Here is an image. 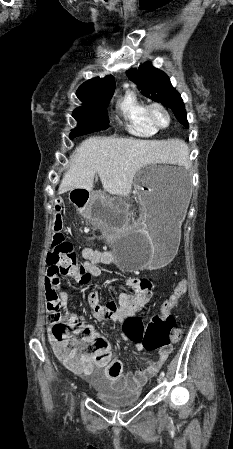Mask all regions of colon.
<instances>
[{"mask_svg": "<svg viewBox=\"0 0 233 449\" xmlns=\"http://www.w3.org/2000/svg\"><path fill=\"white\" fill-rule=\"evenodd\" d=\"M56 207H58L56 205ZM63 221L56 215L53 219L51 249L47 256L50 265H59L64 271L67 268L78 267L79 261L71 243L62 234ZM188 280L180 278L174 285L172 294L162 303L160 313L153 315L144 330L140 325L142 317H148V312H142V316L136 319H127L121 330V337L128 338L129 343H140L146 351L169 350L172 343L180 340L181 330L176 324V319L171 311L177 306L179 299L186 294ZM51 324L50 336L57 343L56 354L69 367L79 370L84 361L75 353V347L71 345V335L78 329L80 348L90 347L97 361H106L110 353V345L104 338H96L91 329L84 326L81 319L73 315L62 313L58 307L50 311Z\"/></svg>", "mask_w": 233, "mask_h": 449, "instance_id": "colon-1", "label": "colon"}]
</instances>
